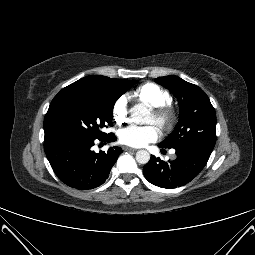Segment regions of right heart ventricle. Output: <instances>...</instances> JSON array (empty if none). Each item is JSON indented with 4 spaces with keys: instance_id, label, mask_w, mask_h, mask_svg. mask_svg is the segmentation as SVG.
<instances>
[{
    "instance_id": "e07e8e85",
    "label": "right heart ventricle",
    "mask_w": 255,
    "mask_h": 255,
    "mask_svg": "<svg viewBox=\"0 0 255 255\" xmlns=\"http://www.w3.org/2000/svg\"><path fill=\"white\" fill-rule=\"evenodd\" d=\"M137 101L151 107L169 104L172 100L167 90L155 83H144L137 87L131 94Z\"/></svg>"
}]
</instances>
